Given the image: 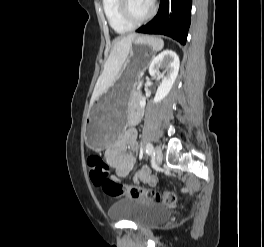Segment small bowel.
Segmentation results:
<instances>
[{
	"instance_id": "obj_1",
	"label": "small bowel",
	"mask_w": 264,
	"mask_h": 247,
	"mask_svg": "<svg viewBox=\"0 0 264 247\" xmlns=\"http://www.w3.org/2000/svg\"><path fill=\"white\" fill-rule=\"evenodd\" d=\"M140 116V112L132 113L129 120L130 127L105 152L106 159L113 168V179L126 177L134 166L135 159L128 149L135 151L139 148L137 131L134 126L139 122ZM137 178L149 184L155 183V178L151 176L148 168H142Z\"/></svg>"
}]
</instances>
